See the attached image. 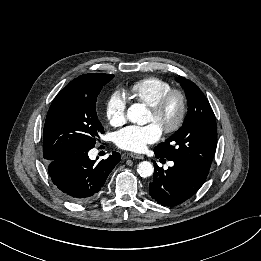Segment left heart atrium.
I'll return each instance as SVG.
<instances>
[{
	"instance_id": "obj_1",
	"label": "left heart atrium",
	"mask_w": 261,
	"mask_h": 261,
	"mask_svg": "<svg viewBox=\"0 0 261 261\" xmlns=\"http://www.w3.org/2000/svg\"><path fill=\"white\" fill-rule=\"evenodd\" d=\"M161 135V129L154 123L144 126L130 125L116 133L115 143L123 150L141 152L148 144L157 142Z\"/></svg>"
}]
</instances>
